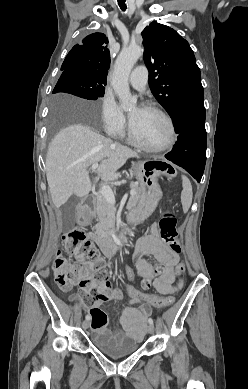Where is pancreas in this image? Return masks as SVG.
Segmentation results:
<instances>
[{
  "instance_id": "obj_1",
  "label": "pancreas",
  "mask_w": 248,
  "mask_h": 389,
  "mask_svg": "<svg viewBox=\"0 0 248 389\" xmlns=\"http://www.w3.org/2000/svg\"><path fill=\"white\" fill-rule=\"evenodd\" d=\"M131 190L135 191L134 195H131L128 207L133 210L140 199L143 187L141 184L131 182ZM114 214V206L110 204L103 196L99 197V206L95 210V218L97 224L94 226L95 234L98 238H108L110 230L113 228L112 216Z\"/></svg>"
}]
</instances>
